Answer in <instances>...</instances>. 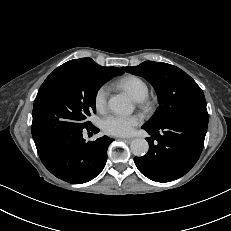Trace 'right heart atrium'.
Returning a JSON list of instances; mask_svg holds the SVG:
<instances>
[{
  "label": "right heart atrium",
  "mask_w": 231,
  "mask_h": 231,
  "mask_svg": "<svg viewBox=\"0 0 231 231\" xmlns=\"http://www.w3.org/2000/svg\"><path fill=\"white\" fill-rule=\"evenodd\" d=\"M109 90L107 86H101L97 89L94 95V105L97 111H104L107 106Z\"/></svg>",
  "instance_id": "obj_1"
}]
</instances>
